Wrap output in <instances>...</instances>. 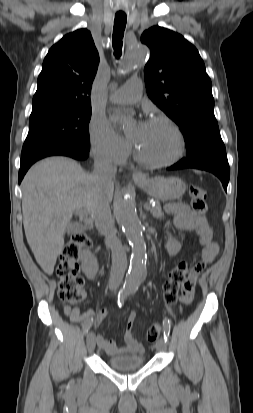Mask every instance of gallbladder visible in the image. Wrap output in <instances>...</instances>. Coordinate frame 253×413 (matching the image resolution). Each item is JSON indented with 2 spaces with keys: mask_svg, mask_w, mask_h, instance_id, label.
Segmentation results:
<instances>
[{
  "mask_svg": "<svg viewBox=\"0 0 253 413\" xmlns=\"http://www.w3.org/2000/svg\"><path fill=\"white\" fill-rule=\"evenodd\" d=\"M79 229H80L79 224L76 222H72L66 227V232L70 234V233L78 231Z\"/></svg>",
  "mask_w": 253,
  "mask_h": 413,
  "instance_id": "bac80fb5",
  "label": "gallbladder"
}]
</instances>
